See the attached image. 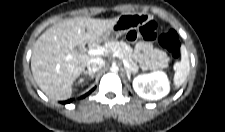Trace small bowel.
Here are the masks:
<instances>
[{
    "label": "small bowel",
    "instance_id": "c3829d8e",
    "mask_svg": "<svg viewBox=\"0 0 225 132\" xmlns=\"http://www.w3.org/2000/svg\"><path fill=\"white\" fill-rule=\"evenodd\" d=\"M134 57L144 70L163 68L167 63L165 54L148 42L137 43Z\"/></svg>",
    "mask_w": 225,
    "mask_h": 132
}]
</instances>
